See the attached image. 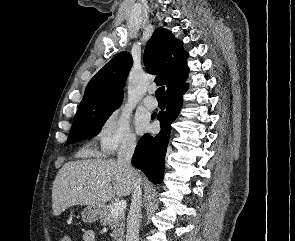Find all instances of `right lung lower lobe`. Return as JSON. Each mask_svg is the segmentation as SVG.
Masks as SVG:
<instances>
[{
	"label": "right lung lower lobe",
	"instance_id": "1",
	"mask_svg": "<svg viewBox=\"0 0 295 241\" xmlns=\"http://www.w3.org/2000/svg\"><path fill=\"white\" fill-rule=\"evenodd\" d=\"M188 85L177 86L167 92V107L157 115L161 131L156 136L145 134L138 142L132 164L144 172L154 184L162 182L165 169V154L169 140L171 123L176 119L182 106V96ZM155 115L152 116L154 118Z\"/></svg>",
	"mask_w": 295,
	"mask_h": 241
}]
</instances>
